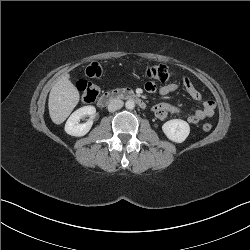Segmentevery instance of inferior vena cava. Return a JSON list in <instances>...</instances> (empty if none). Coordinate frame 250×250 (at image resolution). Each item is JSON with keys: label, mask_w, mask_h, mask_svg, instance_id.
<instances>
[{"label": "inferior vena cava", "mask_w": 250, "mask_h": 250, "mask_svg": "<svg viewBox=\"0 0 250 250\" xmlns=\"http://www.w3.org/2000/svg\"><path fill=\"white\" fill-rule=\"evenodd\" d=\"M124 102L120 99H113L108 104V111L114 112L123 107Z\"/></svg>", "instance_id": "602c4592"}]
</instances>
